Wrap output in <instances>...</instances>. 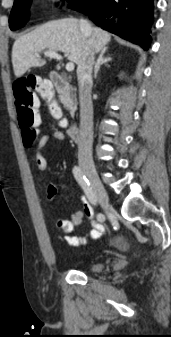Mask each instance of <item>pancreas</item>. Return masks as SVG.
I'll return each mask as SVG.
<instances>
[{"instance_id": "cf45deb5", "label": "pancreas", "mask_w": 171, "mask_h": 337, "mask_svg": "<svg viewBox=\"0 0 171 337\" xmlns=\"http://www.w3.org/2000/svg\"><path fill=\"white\" fill-rule=\"evenodd\" d=\"M60 101L61 103L68 109L71 111V113H73V107H72V103H71V99L70 97L65 93H60L59 95Z\"/></svg>"}]
</instances>
